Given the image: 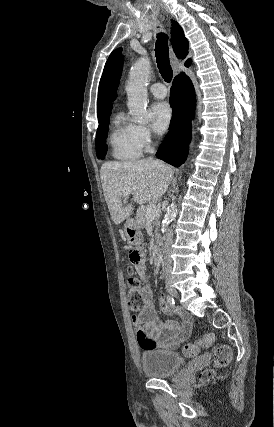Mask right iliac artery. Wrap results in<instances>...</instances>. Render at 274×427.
I'll use <instances>...</instances> for the list:
<instances>
[{"label": "right iliac artery", "instance_id": "82829eb1", "mask_svg": "<svg viewBox=\"0 0 274 427\" xmlns=\"http://www.w3.org/2000/svg\"><path fill=\"white\" fill-rule=\"evenodd\" d=\"M167 302L169 303V305L174 308L175 307V301L173 299V297H171L170 295L167 296Z\"/></svg>", "mask_w": 274, "mask_h": 427}]
</instances>
